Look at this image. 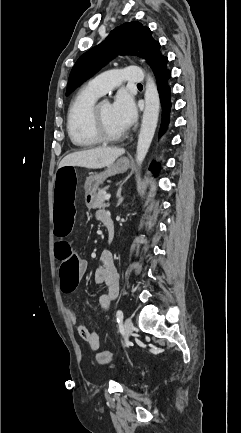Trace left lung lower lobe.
Returning a JSON list of instances; mask_svg holds the SVG:
<instances>
[{"label":"left lung lower lobe","instance_id":"1","mask_svg":"<svg viewBox=\"0 0 241 433\" xmlns=\"http://www.w3.org/2000/svg\"><path fill=\"white\" fill-rule=\"evenodd\" d=\"M157 81V88L161 100L162 105V119L159 130V137L165 133L168 128L170 122V111H171V88L169 86V79L171 77V72L169 70H165L164 72L155 75ZM149 169L156 176L159 173V164L156 162H152Z\"/></svg>","mask_w":241,"mask_h":433}]
</instances>
